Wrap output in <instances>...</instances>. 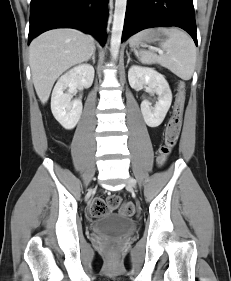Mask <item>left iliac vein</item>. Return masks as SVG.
<instances>
[{
	"mask_svg": "<svg viewBox=\"0 0 231 281\" xmlns=\"http://www.w3.org/2000/svg\"><path fill=\"white\" fill-rule=\"evenodd\" d=\"M127 186L130 188H136V182L133 178H129L128 182H127Z\"/></svg>",
	"mask_w": 231,
	"mask_h": 281,
	"instance_id": "4c4485c4",
	"label": "left iliac vein"
}]
</instances>
